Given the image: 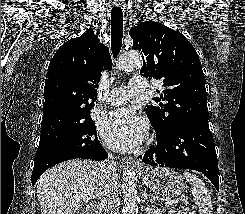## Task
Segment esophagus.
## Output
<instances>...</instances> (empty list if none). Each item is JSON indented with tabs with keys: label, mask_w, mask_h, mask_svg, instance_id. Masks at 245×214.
Segmentation results:
<instances>
[{
	"label": "esophagus",
	"mask_w": 245,
	"mask_h": 214,
	"mask_svg": "<svg viewBox=\"0 0 245 214\" xmlns=\"http://www.w3.org/2000/svg\"><path fill=\"white\" fill-rule=\"evenodd\" d=\"M121 162L122 163H134V161H133V159L132 158H122L121 159ZM137 165H139V164H137Z\"/></svg>",
	"instance_id": "esophagus-1"
}]
</instances>
